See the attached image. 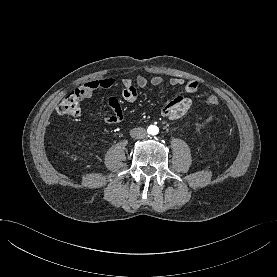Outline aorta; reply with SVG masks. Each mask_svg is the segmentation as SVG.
<instances>
[{"instance_id":"obj_1","label":"aorta","mask_w":277,"mask_h":277,"mask_svg":"<svg viewBox=\"0 0 277 277\" xmlns=\"http://www.w3.org/2000/svg\"><path fill=\"white\" fill-rule=\"evenodd\" d=\"M150 132H151L152 134L156 133V132H154L153 130H150Z\"/></svg>"}]
</instances>
